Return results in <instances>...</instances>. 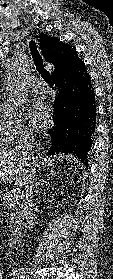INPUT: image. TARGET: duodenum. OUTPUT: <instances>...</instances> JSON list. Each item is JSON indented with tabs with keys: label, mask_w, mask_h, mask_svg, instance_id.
Segmentation results:
<instances>
[{
	"label": "duodenum",
	"mask_w": 113,
	"mask_h": 279,
	"mask_svg": "<svg viewBox=\"0 0 113 279\" xmlns=\"http://www.w3.org/2000/svg\"><path fill=\"white\" fill-rule=\"evenodd\" d=\"M20 237H21V227L16 226L12 229V231L10 233V243L14 246H17L18 242L20 240Z\"/></svg>",
	"instance_id": "1"
}]
</instances>
